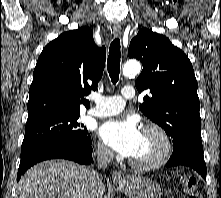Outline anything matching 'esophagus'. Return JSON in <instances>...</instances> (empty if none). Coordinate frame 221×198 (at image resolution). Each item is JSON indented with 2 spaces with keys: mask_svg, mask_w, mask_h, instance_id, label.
Returning <instances> with one entry per match:
<instances>
[{
  "mask_svg": "<svg viewBox=\"0 0 221 198\" xmlns=\"http://www.w3.org/2000/svg\"><path fill=\"white\" fill-rule=\"evenodd\" d=\"M122 28L119 24L113 26V34L115 37L121 36ZM112 180L116 183L124 182V177L120 171H114L112 174Z\"/></svg>",
  "mask_w": 221,
  "mask_h": 198,
  "instance_id": "34e87169",
  "label": "esophagus"
}]
</instances>
